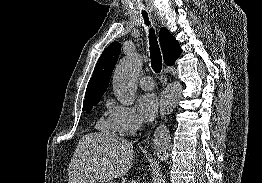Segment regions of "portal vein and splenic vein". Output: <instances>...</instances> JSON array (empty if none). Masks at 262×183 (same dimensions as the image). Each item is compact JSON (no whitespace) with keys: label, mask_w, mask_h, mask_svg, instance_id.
<instances>
[{"label":"portal vein and splenic vein","mask_w":262,"mask_h":183,"mask_svg":"<svg viewBox=\"0 0 262 183\" xmlns=\"http://www.w3.org/2000/svg\"><path fill=\"white\" fill-rule=\"evenodd\" d=\"M130 183H135L134 181H131Z\"/></svg>","instance_id":"obj_1"}]
</instances>
